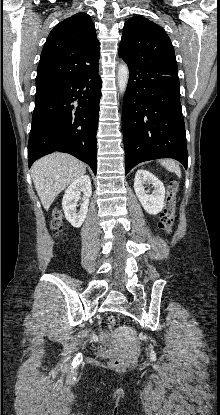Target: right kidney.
<instances>
[{
  "label": "right kidney",
  "mask_w": 220,
  "mask_h": 415,
  "mask_svg": "<svg viewBox=\"0 0 220 415\" xmlns=\"http://www.w3.org/2000/svg\"><path fill=\"white\" fill-rule=\"evenodd\" d=\"M81 192H83V203L80 206V211L77 213V201L80 199ZM92 195L91 180L88 175H83L76 179L66 189L62 200V208L68 222L75 228L81 227L83 224L89 206V198Z\"/></svg>",
  "instance_id": "obj_1"
}]
</instances>
